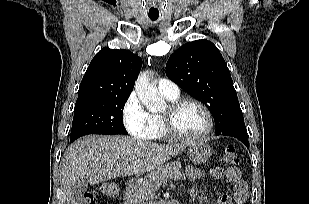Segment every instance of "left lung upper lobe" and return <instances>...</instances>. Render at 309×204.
Returning <instances> with one entry per match:
<instances>
[{
    "mask_svg": "<svg viewBox=\"0 0 309 204\" xmlns=\"http://www.w3.org/2000/svg\"><path fill=\"white\" fill-rule=\"evenodd\" d=\"M166 75L207 106L216 132L244 122L229 69L212 42L196 40L182 45L170 56Z\"/></svg>",
    "mask_w": 309,
    "mask_h": 204,
    "instance_id": "1",
    "label": "left lung upper lobe"
}]
</instances>
